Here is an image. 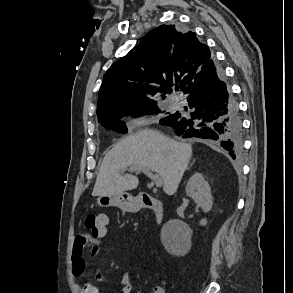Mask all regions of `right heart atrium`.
<instances>
[{
    "mask_svg": "<svg viewBox=\"0 0 293 293\" xmlns=\"http://www.w3.org/2000/svg\"><path fill=\"white\" fill-rule=\"evenodd\" d=\"M133 124L137 127H141L147 124V120L145 118H137L133 121Z\"/></svg>",
    "mask_w": 293,
    "mask_h": 293,
    "instance_id": "right-heart-atrium-1",
    "label": "right heart atrium"
}]
</instances>
